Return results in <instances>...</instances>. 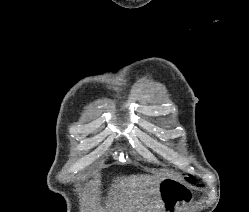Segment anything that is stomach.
<instances>
[{
	"instance_id": "obj_1",
	"label": "stomach",
	"mask_w": 249,
	"mask_h": 212,
	"mask_svg": "<svg viewBox=\"0 0 249 212\" xmlns=\"http://www.w3.org/2000/svg\"><path fill=\"white\" fill-rule=\"evenodd\" d=\"M158 192L163 202L165 212H179L185 202H190L191 196L186 188L177 180H161L158 184Z\"/></svg>"
}]
</instances>
